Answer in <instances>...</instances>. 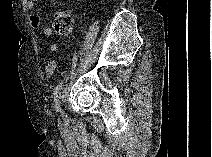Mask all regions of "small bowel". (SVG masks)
Instances as JSON below:
<instances>
[{
    "label": "small bowel",
    "instance_id": "obj_1",
    "mask_svg": "<svg viewBox=\"0 0 212 157\" xmlns=\"http://www.w3.org/2000/svg\"><path fill=\"white\" fill-rule=\"evenodd\" d=\"M42 2V0H25L24 1V8L27 11H33L35 7L37 6L38 3ZM30 24L31 27L34 29H38L41 25V19L37 14H32L30 16ZM43 35L47 38L50 39L52 36V29L49 26H46L42 30ZM49 50L52 53H55L58 50V46L55 42H51L49 44ZM56 61L55 60H49L45 66V73L48 77H51L54 75L55 69H56Z\"/></svg>",
    "mask_w": 212,
    "mask_h": 157
}]
</instances>
